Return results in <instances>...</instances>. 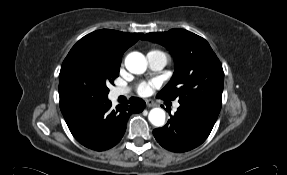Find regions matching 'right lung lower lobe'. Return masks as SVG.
I'll list each match as a JSON object with an SVG mask.
<instances>
[{
	"mask_svg": "<svg viewBox=\"0 0 287 175\" xmlns=\"http://www.w3.org/2000/svg\"><path fill=\"white\" fill-rule=\"evenodd\" d=\"M130 100L112 109L111 101L106 98L93 107L63 116L79 143L92 150L104 151L122 139L129 115L144 110V100L135 97Z\"/></svg>",
	"mask_w": 287,
	"mask_h": 175,
	"instance_id": "98d812e1",
	"label": "right lung lower lobe"
}]
</instances>
